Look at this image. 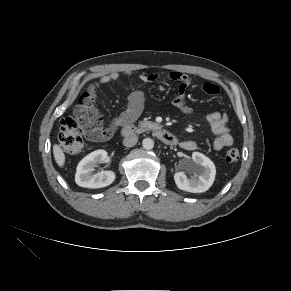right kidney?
<instances>
[{
	"instance_id": "obj_1",
	"label": "right kidney",
	"mask_w": 291,
	"mask_h": 291,
	"mask_svg": "<svg viewBox=\"0 0 291 291\" xmlns=\"http://www.w3.org/2000/svg\"><path fill=\"white\" fill-rule=\"evenodd\" d=\"M107 159L105 150H96L85 156L78 164L75 175L77 185L85 188H102L114 182L116 176L113 171H101L92 174L98 163H104Z\"/></svg>"
}]
</instances>
